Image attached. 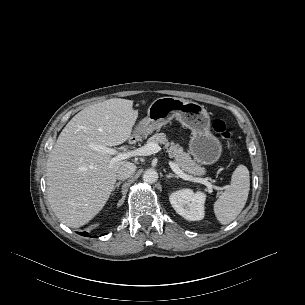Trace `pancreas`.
<instances>
[{"label": "pancreas", "mask_w": 305, "mask_h": 305, "mask_svg": "<svg viewBox=\"0 0 305 305\" xmlns=\"http://www.w3.org/2000/svg\"><path fill=\"white\" fill-rule=\"evenodd\" d=\"M149 143H156L164 145L168 149L169 155L174 158L176 164L181 168L183 172L190 175L201 176L205 174V168L198 164L191 156L183 151V148L174 142H169L166 134L156 133L150 137L147 141Z\"/></svg>", "instance_id": "cf45deb5"}]
</instances>
